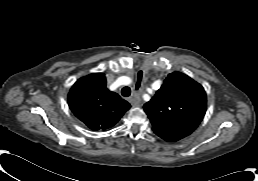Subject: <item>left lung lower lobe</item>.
<instances>
[{
	"instance_id": "left-lung-lower-lobe-1",
	"label": "left lung lower lobe",
	"mask_w": 258,
	"mask_h": 181,
	"mask_svg": "<svg viewBox=\"0 0 258 181\" xmlns=\"http://www.w3.org/2000/svg\"><path fill=\"white\" fill-rule=\"evenodd\" d=\"M162 139H164V140H166V141H177V140H175V139H173V138H171V137H161Z\"/></svg>"
}]
</instances>
